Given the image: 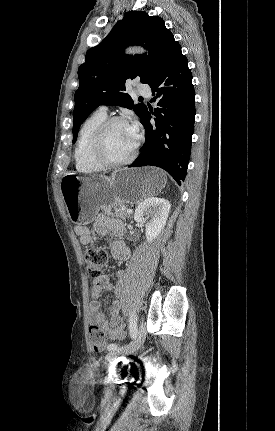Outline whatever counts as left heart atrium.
<instances>
[{"label": "left heart atrium", "instance_id": "1", "mask_svg": "<svg viewBox=\"0 0 275 431\" xmlns=\"http://www.w3.org/2000/svg\"><path fill=\"white\" fill-rule=\"evenodd\" d=\"M128 126H129L130 135H131L134 143H136L137 139H138V125H137V123L134 122Z\"/></svg>", "mask_w": 275, "mask_h": 431}]
</instances>
